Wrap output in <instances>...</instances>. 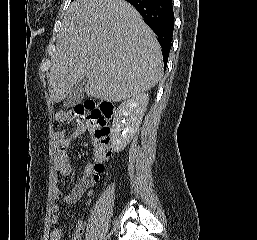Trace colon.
Returning <instances> with one entry per match:
<instances>
[{
	"label": "colon",
	"instance_id": "5ec220e1",
	"mask_svg": "<svg viewBox=\"0 0 257 240\" xmlns=\"http://www.w3.org/2000/svg\"><path fill=\"white\" fill-rule=\"evenodd\" d=\"M112 114L111 106L96 104L87 101L78 105L72 111V116L82 128L88 129L91 134L92 144L95 151L94 176L99 178L106 170V161L110 156L109 127L107 122Z\"/></svg>",
	"mask_w": 257,
	"mask_h": 240
}]
</instances>
